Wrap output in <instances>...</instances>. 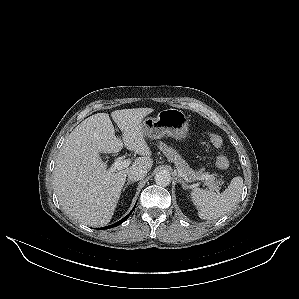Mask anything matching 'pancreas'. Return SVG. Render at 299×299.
<instances>
[{
	"mask_svg": "<svg viewBox=\"0 0 299 299\" xmlns=\"http://www.w3.org/2000/svg\"><path fill=\"white\" fill-rule=\"evenodd\" d=\"M160 150L166 155L167 159L171 162L175 163V166L178 170H181L185 176L188 179H195V178H203L206 175H210L208 173H204L201 170L200 171H194L192 168L189 167V165L185 162V160L182 158V156L172 147L166 145L163 142H159ZM205 180V185L214 191H217L219 187L217 186V183L221 181H215V175L212 174L211 178L208 179H202Z\"/></svg>",
	"mask_w": 299,
	"mask_h": 299,
	"instance_id": "cf45deb5",
	"label": "pancreas"
}]
</instances>
